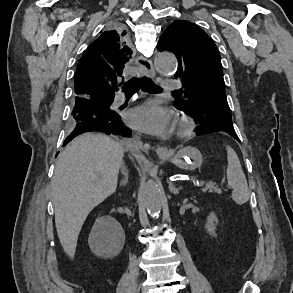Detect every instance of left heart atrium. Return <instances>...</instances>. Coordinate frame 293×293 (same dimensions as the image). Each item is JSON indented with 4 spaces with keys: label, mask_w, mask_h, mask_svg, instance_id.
<instances>
[{
    "label": "left heart atrium",
    "mask_w": 293,
    "mask_h": 293,
    "mask_svg": "<svg viewBox=\"0 0 293 293\" xmlns=\"http://www.w3.org/2000/svg\"><path fill=\"white\" fill-rule=\"evenodd\" d=\"M127 121L132 127L153 134H164L172 126L171 113L156 102H147L130 110Z\"/></svg>",
    "instance_id": "left-heart-atrium-1"
}]
</instances>
